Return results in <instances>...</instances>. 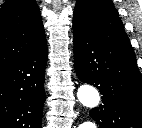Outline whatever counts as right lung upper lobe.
<instances>
[{"label":"right lung upper lobe","instance_id":"1","mask_svg":"<svg viewBox=\"0 0 142 128\" xmlns=\"http://www.w3.org/2000/svg\"><path fill=\"white\" fill-rule=\"evenodd\" d=\"M46 43L35 0H6L0 9V70Z\"/></svg>","mask_w":142,"mask_h":128}]
</instances>
